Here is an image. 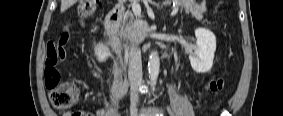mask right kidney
<instances>
[{
	"instance_id": "ca27d5eb",
	"label": "right kidney",
	"mask_w": 283,
	"mask_h": 116,
	"mask_svg": "<svg viewBox=\"0 0 283 116\" xmlns=\"http://www.w3.org/2000/svg\"><path fill=\"white\" fill-rule=\"evenodd\" d=\"M94 52L99 62H105L107 58L111 56L109 48L103 43L97 44L94 48Z\"/></svg>"
}]
</instances>
